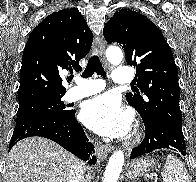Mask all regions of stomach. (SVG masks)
<instances>
[{"mask_svg": "<svg viewBox=\"0 0 196 182\" xmlns=\"http://www.w3.org/2000/svg\"><path fill=\"white\" fill-rule=\"evenodd\" d=\"M153 163L149 159L135 161L127 170V177L133 180L143 177L153 167Z\"/></svg>", "mask_w": 196, "mask_h": 182, "instance_id": "obj_1", "label": "stomach"}]
</instances>
